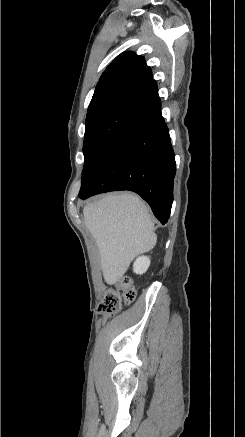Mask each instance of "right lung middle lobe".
<instances>
[{
	"instance_id": "dd1d6c3e",
	"label": "right lung middle lobe",
	"mask_w": 245,
	"mask_h": 437,
	"mask_svg": "<svg viewBox=\"0 0 245 437\" xmlns=\"http://www.w3.org/2000/svg\"><path fill=\"white\" fill-rule=\"evenodd\" d=\"M142 110L124 103H109L87 113L83 143L84 168L82 183L88 178L121 131Z\"/></svg>"
}]
</instances>
